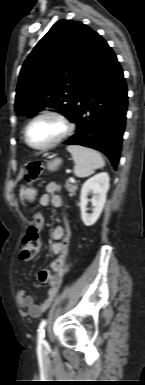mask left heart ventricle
Returning <instances> with one entry per match:
<instances>
[{"mask_svg":"<svg viewBox=\"0 0 145 385\" xmlns=\"http://www.w3.org/2000/svg\"><path fill=\"white\" fill-rule=\"evenodd\" d=\"M64 131V125L53 117L36 120L29 128L28 139L34 146H44L57 139Z\"/></svg>","mask_w":145,"mask_h":385,"instance_id":"b2bd125f","label":"left heart ventricle"}]
</instances>
